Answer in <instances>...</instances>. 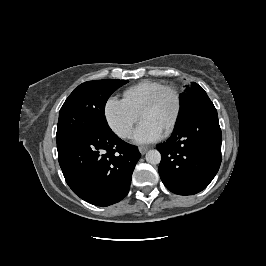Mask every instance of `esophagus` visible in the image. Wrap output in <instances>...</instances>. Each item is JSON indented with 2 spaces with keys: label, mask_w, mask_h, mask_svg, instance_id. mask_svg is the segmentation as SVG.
<instances>
[{
  "label": "esophagus",
  "mask_w": 266,
  "mask_h": 266,
  "mask_svg": "<svg viewBox=\"0 0 266 266\" xmlns=\"http://www.w3.org/2000/svg\"><path fill=\"white\" fill-rule=\"evenodd\" d=\"M148 147L147 146H140L139 147V151L142 155H144L147 151H148Z\"/></svg>",
  "instance_id": "34e87169"
}]
</instances>
